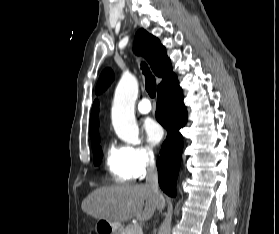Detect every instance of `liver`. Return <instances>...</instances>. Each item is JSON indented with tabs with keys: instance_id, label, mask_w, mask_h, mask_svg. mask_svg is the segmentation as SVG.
<instances>
[{
	"instance_id": "1",
	"label": "liver",
	"mask_w": 279,
	"mask_h": 234,
	"mask_svg": "<svg viewBox=\"0 0 279 234\" xmlns=\"http://www.w3.org/2000/svg\"><path fill=\"white\" fill-rule=\"evenodd\" d=\"M161 202L146 185L123 184L94 190L83 200L81 208L95 219L108 222L119 223L134 217L146 221L153 216Z\"/></svg>"
}]
</instances>
